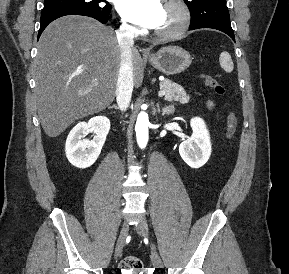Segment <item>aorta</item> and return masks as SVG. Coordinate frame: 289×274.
Returning a JSON list of instances; mask_svg holds the SVG:
<instances>
[{"label":"aorta","mask_w":289,"mask_h":274,"mask_svg":"<svg viewBox=\"0 0 289 274\" xmlns=\"http://www.w3.org/2000/svg\"><path fill=\"white\" fill-rule=\"evenodd\" d=\"M149 119L145 112L139 113L136 121L135 131L137 143L140 148H145L148 142Z\"/></svg>","instance_id":"aorta-1"}]
</instances>
